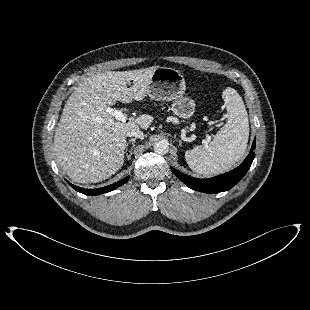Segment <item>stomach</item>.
<instances>
[{"mask_svg":"<svg viewBox=\"0 0 310 310\" xmlns=\"http://www.w3.org/2000/svg\"><path fill=\"white\" fill-rule=\"evenodd\" d=\"M186 84L180 70L171 67H158L154 71L147 95L156 101L172 102V112L183 119L190 118L195 112V101L185 97Z\"/></svg>","mask_w":310,"mask_h":310,"instance_id":"obj_1","label":"stomach"}]
</instances>
